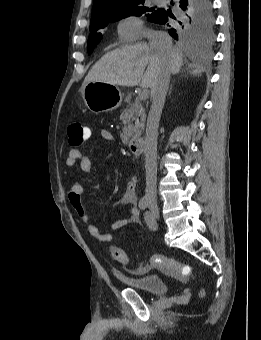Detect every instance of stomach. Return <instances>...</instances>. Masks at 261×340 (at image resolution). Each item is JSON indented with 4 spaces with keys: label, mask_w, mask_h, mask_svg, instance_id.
<instances>
[{
    "label": "stomach",
    "mask_w": 261,
    "mask_h": 340,
    "mask_svg": "<svg viewBox=\"0 0 261 340\" xmlns=\"http://www.w3.org/2000/svg\"><path fill=\"white\" fill-rule=\"evenodd\" d=\"M82 97L88 109L96 114L115 110L123 98L118 86L99 81L86 83Z\"/></svg>",
    "instance_id": "1"
}]
</instances>
